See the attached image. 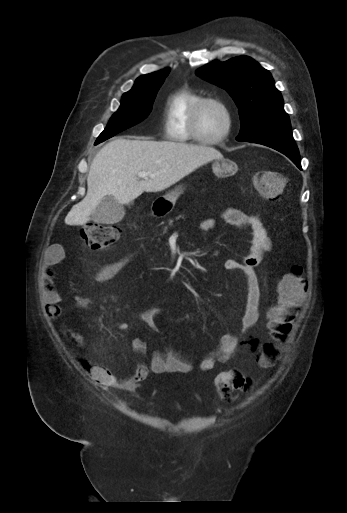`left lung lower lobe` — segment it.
I'll return each instance as SVG.
<instances>
[{"instance_id": "1", "label": "left lung lower lobe", "mask_w": 347, "mask_h": 513, "mask_svg": "<svg viewBox=\"0 0 347 513\" xmlns=\"http://www.w3.org/2000/svg\"><path fill=\"white\" fill-rule=\"evenodd\" d=\"M247 142L262 144L283 153L302 170L299 151L294 142L291 130L270 132Z\"/></svg>"}]
</instances>
